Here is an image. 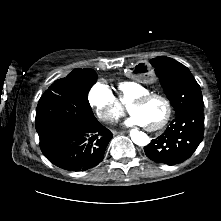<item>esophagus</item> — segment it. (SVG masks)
Returning <instances> with one entry per match:
<instances>
[{
  "instance_id": "esophagus-1",
  "label": "esophagus",
  "mask_w": 221,
  "mask_h": 221,
  "mask_svg": "<svg viewBox=\"0 0 221 221\" xmlns=\"http://www.w3.org/2000/svg\"><path fill=\"white\" fill-rule=\"evenodd\" d=\"M130 132H131V131H130ZM117 133H124V132H116V131L114 132V134H117ZM125 133H126V132H125ZM128 133H129V132H128Z\"/></svg>"
}]
</instances>
